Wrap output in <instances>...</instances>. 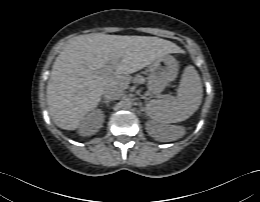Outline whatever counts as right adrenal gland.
<instances>
[{
    "mask_svg": "<svg viewBox=\"0 0 260 202\" xmlns=\"http://www.w3.org/2000/svg\"><path fill=\"white\" fill-rule=\"evenodd\" d=\"M102 104H106L107 106L109 105L110 101L109 100H104L101 102Z\"/></svg>",
    "mask_w": 260,
    "mask_h": 202,
    "instance_id": "2a0ac1e0",
    "label": "right adrenal gland"
}]
</instances>
